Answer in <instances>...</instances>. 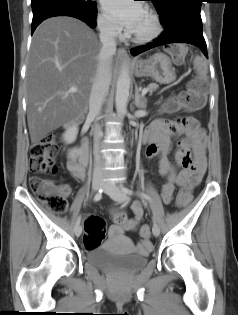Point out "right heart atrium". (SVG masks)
<instances>
[{"label": "right heart atrium", "mask_w": 238, "mask_h": 315, "mask_svg": "<svg viewBox=\"0 0 238 315\" xmlns=\"http://www.w3.org/2000/svg\"><path fill=\"white\" fill-rule=\"evenodd\" d=\"M97 26L101 34L108 38H115L119 35L120 29L115 21L105 13L97 17Z\"/></svg>", "instance_id": "obj_1"}]
</instances>
